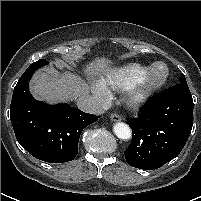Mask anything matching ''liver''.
<instances>
[{
    "label": "liver",
    "mask_w": 201,
    "mask_h": 201,
    "mask_svg": "<svg viewBox=\"0 0 201 201\" xmlns=\"http://www.w3.org/2000/svg\"><path fill=\"white\" fill-rule=\"evenodd\" d=\"M109 64V59L98 58L86 67L85 73L95 76L106 71ZM30 89L36 99L48 103H58L87 94L88 85L81 77L73 73L65 71L61 74L54 68H50L34 74Z\"/></svg>",
    "instance_id": "1"
}]
</instances>
